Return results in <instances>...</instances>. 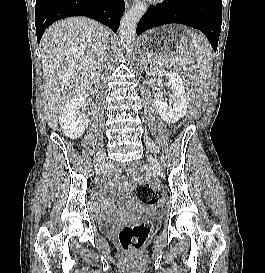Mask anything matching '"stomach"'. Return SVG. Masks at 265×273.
<instances>
[{"instance_id":"1","label":"stomach","mask_w":265,"mask_h":273,"mask_svg":"<svg viewBox=\"0 0 265 273\" xmlns=\"http://www.w3.org/2000/svg\"><path fill=\"white\" fill-rule=\"evenodd\" d=\"M187 25H157V30H148V35H143L139 40V49H149L146 56H154L161 60L162 56H178L180 35H186Z\"/></svg>"}]
</instances>
